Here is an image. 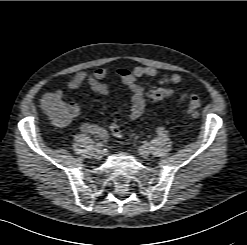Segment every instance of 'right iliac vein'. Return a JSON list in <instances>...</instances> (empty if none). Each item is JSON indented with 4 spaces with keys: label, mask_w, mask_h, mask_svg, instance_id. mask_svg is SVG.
<instances>
[{
    "label": "right iliac vein",
    "mask_w": 247,
    "mask_h": 245,
    "mask_svg": "<svg viewBox=\"0 0 247 245\" xmlns=\"http://www.w3.org/2000/svg\"><path fill=\"white\" fill-rule=\"evenodd\" d=\"M103 157V152L101 150H96L94 153L95 159H101Z\"/></svg>",
    "instance_id": "obj_1"
}]
</instances>
